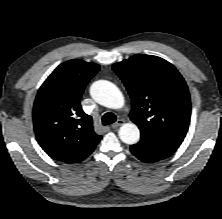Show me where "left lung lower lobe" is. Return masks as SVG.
<instances>
[{"label": "left lung lower lobe", "mask_w": 222, "mask_h": 219, "mask_svg": "<svg viewBox=\"0 0 222 219\" xmlns=\"http://www.w3.org/2000/svg\"><path fill=\"white\" fill-rule=\"evenodd\" d=\"M177 147L148 137L141 136L137 144L131 145L134 156L143 162H156L170 156Z\"/></svg>", "instance_id": "left-lung-lower-lobe-1"}]
</instances>
